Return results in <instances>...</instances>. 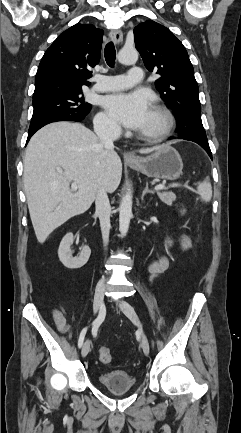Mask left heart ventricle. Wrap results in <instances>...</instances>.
Here are the masks:
<instances>
[{"instance_id": "1", "label": "left heart ventricle", "mask_w": 241, "mask_h": 433, "mask_svg": "<svg viewBox=\"0 0 241 433\" xmlns=\"http://www.w3.org/2000/svg\"><path fill=\"white\" fill-rule=\"evenodd\" d=\"M163 127V119L153 110H151L149 119L141 131H158Z\"/></svg>"}]
</instances>
